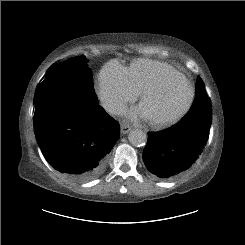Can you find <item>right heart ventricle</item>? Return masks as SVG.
<instances>
[{"instance_id": "right-heart-ventricle-1", "label": "right heart ventricle", "mask_w": 245, "mask_h": 245, "mask_svg": "<svg viewBox=\"0 0 245 245\" xmlns=\"http://www.w3.org/2000/svg\"><path fill=\"white\" fill-rule=\"evenodd\" d=\"M173 70L177 69L167 63L148 59L135 60L127 67L130 82L138 94Z\"/></svg>"}]
</instances>
